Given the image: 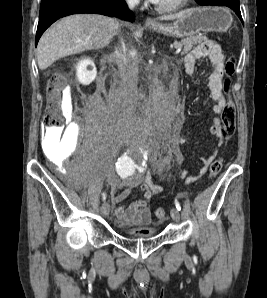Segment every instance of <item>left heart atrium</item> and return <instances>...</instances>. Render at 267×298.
I'll return each instance as SVG.
<instances>
[{
    "instance_id": "1",
    "label": "left heart atrium",
    "mask_w": 267,
    "mask_h": 298,
    "mask_svg": "<svg viewBox=\"0 0 267 298\" xmlns=\"http://www.w3.org/2000/svg\"><path fill=\"white\" fill-rule=\"evenodd\" d=\"M151 2H153V3H158L159 2V0H150Z\"/></svg>"
}]
</instances>
